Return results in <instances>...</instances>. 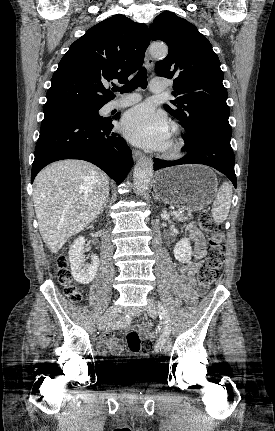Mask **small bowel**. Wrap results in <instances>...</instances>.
<instances>
[{
  "mask_svg": "<svg viewBox=\"0 0 275 431\" xmlns=\"http://www.w3.org/2000/svg\"><path fill=\"white\" fill-rule=\"evenodd\" d=\"M188 232L194 243L195 261L182 265L179 268L178 280L183 299L189 304H194L197 301V295L194 289L195 274L199 269L200 260L203 257L206 243L204 236L195 226L189 225ZM137 330L144 340L151 341L154 338L148 323L138 325ZM98 349L101 355H106L107 350H109L113 356H119L121 354L118 338L114 335L104 334L98 342Z\"/></svg>",
  "mask_w": 275,
  "mask_h": 431,
  "instance_id": "obj_1",
  "label": "small bowel"
}]
</instances>
